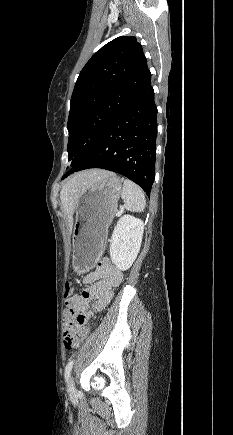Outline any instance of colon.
<instances>
[{
	"mask_svg": "<svg viewBox=\"0 0 233 435\" xmlns=\"http://www.w3.org/2000/svg\"><path fill=\"white\" fill-rule=\"evenodd\" d=\"M73 285L70 281H65L64 283V294L65 296H70L73 293ZM80 319V318H79ZM64 345L67 349H71L78 345L76 339L72 333L71 323L64 326Z\"/></svg>",
	"mask_w": 233,
	"mask_h": 435,
	"instance_id": "obj_1",
	"label": "colon"
}]
</instances>
